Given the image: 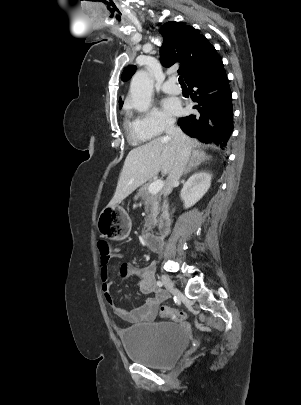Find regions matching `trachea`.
<instances>
[{"instance_id": "obj_1", "label": "trachea", "mask_w": 301, "mask_h": 405, "mask_svg": "<svg viewBox=\"0 0 301 405\" xmlns=\"http://www.w3.org/2000/svg\"><path fill=\"white\" fill-rule=\"evenodd\" d=\"M178 81H179V84H180L181 86H185V83H184V80H183V77H182V76H180V77L178 78Z\"/></svg>"}]
</instances>
